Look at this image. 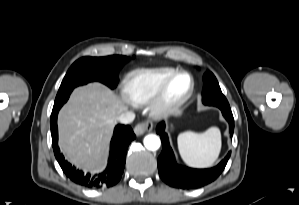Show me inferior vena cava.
<instances>
[{
  "mask_svg": "<svg viewBox=\"0 0 299 205\" xmlns=\"http://www.w3.org/2000/svg\"><path fill=\"white\" fill-rule=\"evenodd\" d=\"M134 118H135L134 112L128 111V112L120 114L117 117V120L121 124H130L133 122Z\"/></svg>",
  "mask_w": 299,
  "mask_h": 205,
  "instance_id": "1",
  "label": "inferior vena cava"
}]
</instances>
